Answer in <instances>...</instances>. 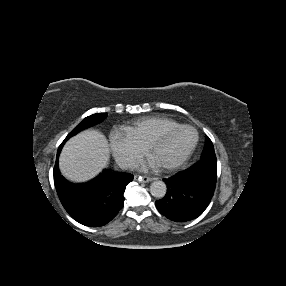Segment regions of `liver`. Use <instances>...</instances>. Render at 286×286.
I'll list each match as a JSON object with an SVG mask.
<instances>
[{
  "label": "liver",
  "instance_id": "liver-1",
  "mask_svg": "<svg viewBox=\"0 0 286 286\" xmlns=\"http://www.w3.org/2000/svg\"><path fill=\"white\" fill-rule=\"evenodd\" d=\"M109 157L105 136L96 130H85L65 143L59 166L69 180L84 182L95 177L108 164Z\"/></svg>",
  "mask_w": 286,
  "mask_h": 286
}]
</instances>
